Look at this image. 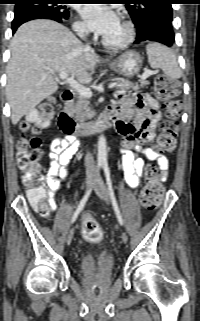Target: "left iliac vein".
Returning a JSON list of instances; mask_svg holds the SVG:
<instances>
[{
  "instance_id": "obj_1",
  "label": "left iliac vein",
  "mask_w": 200,
  "mask_h": 321,
  "mask_svg": "<svg viewBox=\"0 0 200 321\" xmlns=\"http://www.w3.org/2000/svg\"><path fill=\"white\" fill-rule=\"evenodd\" d=\"M95 192L96 194L107 204L110 203V198L106 186L102 180V178L98 175L96 178V185H95ZM122 241L126 243L128 241V236L125 232L121 235Z\"/></svg>"
}]
</instances>
